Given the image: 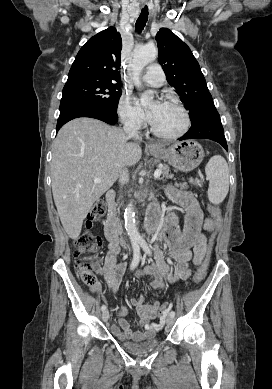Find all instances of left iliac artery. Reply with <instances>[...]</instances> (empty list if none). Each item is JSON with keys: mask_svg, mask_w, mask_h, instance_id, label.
I'll return each mask as SVG.
<instances>
[{"mask_svg": "<svg viewBox=\"0 0 272 389\" xmlns=\"http://www.w3.org/2000/svg\"><path fill=\"white\" fill-rule=\"evenodd\" d=\"M139 244L140 246L142 247V249L148 254V255H151V251L147 245V243L145 242V240L141 239L139 240ZM170 316L174 317L175 316V312L174 311H171L170 312Z\"/></svg>", "mask_w": 272, "mask_h": 389, "instance_id": "1", "label": "left iliac artery"}]
</instances>
